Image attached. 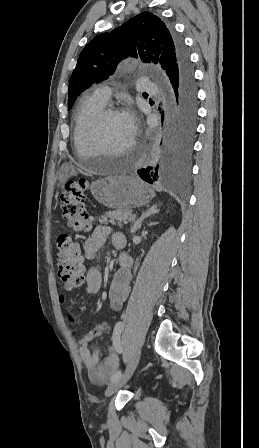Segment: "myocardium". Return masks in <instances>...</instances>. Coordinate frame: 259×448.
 <instances>
[{"label":"myocardium","mask_w":259,"mask_h":448,"mask_svg":"<svg viewBox=\"0 0 259 448\" xmlns=\"http://www.w3.org/2000/svg\"><path fill=\"white\" fill-rule=\"evenodd\" d=\"M117 115H122V112L120 111V108L115 105H105L104 108L96 114L86 133V141L90 148L105 151L110 150L103 141L102 131L105 121L109 117ZM135 143L136 141L133 137L130 148L134 147ZM75 156H77V163H84L80 151L77 152ZM93 171H101V169H93Z\"/></svg>","instance_id":"f54148a6"}]
</instances>
